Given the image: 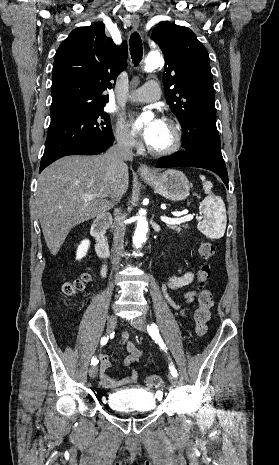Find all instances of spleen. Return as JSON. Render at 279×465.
I'll use <instances>...</instances> for the list:
<instances>
[{"mask_svg": "<svg viewBox=\"0 0 279 465\" xmlns=\"http://www.w3.org/2000/svg\"><path fill=\"white\" fill-rule=\"evenodd\" d=\"M203 181V188L208 196L202 200L199 209L204 214V219L198 224V229L212 239L223 237L226 229L227 216L225 204L221 197L210 195L213 187L212 183L205 180V176L200 175Z\"/></svg>", "mask_w": 279, "mask_h": 465, "instance_id": "spleen-1", "label": "spleen"}]
</instances>
